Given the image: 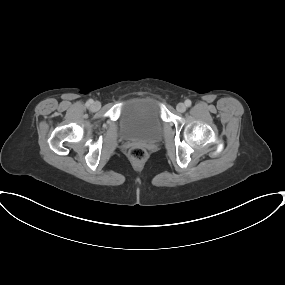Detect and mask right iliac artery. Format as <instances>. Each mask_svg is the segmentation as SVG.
I'll return each mask as SVG.
<instances>
[{
	"label": "right iliac artery",
	"instance_id": "82829eb1",
	"mask_svg": "<svg viewBox=\"0 0 285 285\" xmlns=\"http://www.w3.org/2000/svg\"><path fill=\"white\" fill-rule=\"evenodd\" d=\"M91 104H93V100L92 99H89L86 103V106H90Z\"/></svg>",
	"mask_w": 285,
	"mask_h": 285
}]
</instances>
